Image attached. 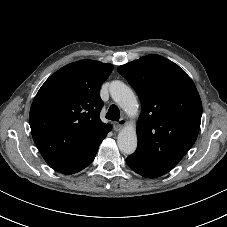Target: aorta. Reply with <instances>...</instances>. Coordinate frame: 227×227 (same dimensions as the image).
<instances>
[{
	"mask_svg": "<svg viewBox=\"0 0 227 227\" xmlns=\"http://www.w3.org/2000/svg\"><path fill=\"white\" fill-rule=\"evenodd\" d=\"M112 99L129 115L138 113V101L130 87L121 81H113L109 88ZM117 143L120 151L130 155L137 148L136 128L132 125L124 127L118 134Z\"/></svg>",
	"mask_w": 227,
	"mask_h": 227,
	"instance_id": "aorta-1",
	"label": "aorta"
}]
</instances>
